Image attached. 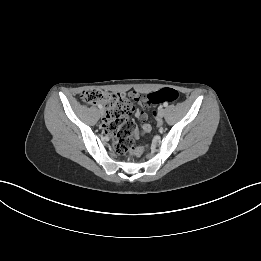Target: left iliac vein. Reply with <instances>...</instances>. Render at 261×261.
<instances>
[{
    "label": "left iliac vein",
    "mask_w": 261,
    "mask_h": 261,
    "mask_svg": "<svg viewBox=\"0 0 261 261\" xmlns=\"http://www.w3.org/2000/svg\"><path fill=\"white\" fill-rule=\"evenodd\" d=\"M158 115H159V117L162 118V117L165 115V109L160 108V109H159V112H158Z\"/></svg>",
    "instance_id": "4c4485c4"
}]
</instances>
